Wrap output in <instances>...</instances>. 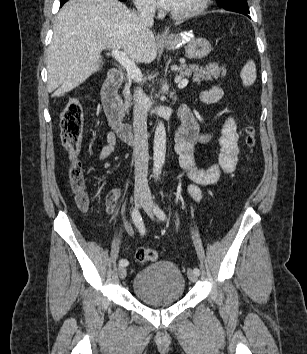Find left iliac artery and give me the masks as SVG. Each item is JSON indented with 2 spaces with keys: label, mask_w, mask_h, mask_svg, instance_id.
<instances>
[{
  "label": "left iliac artery",
  "mask_w": 307,
  "mask_h": 354,
  "mask_svg": "<svg viewBox=\"0 0 307 354\" xmlns=\"http://www.w3.org/2000/svg\"><path fill=\"white\" fill-rule=\"evenodd\" d=\"M154 213H155V215H156L159 219H161V220H163V221L166 220V215H165V213L160 209V207H159L158 205H155V206H154ZM193 271H194V273L197 274V275L200 274V270H199L198 268H194Z\"/></svg>",
  "instance_id": "left-iliac-artery-1"
}]
</instances>
